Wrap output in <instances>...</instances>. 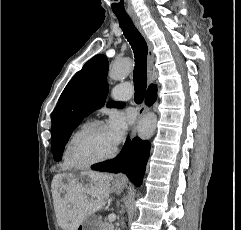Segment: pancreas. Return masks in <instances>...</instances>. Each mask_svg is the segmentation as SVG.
Segmentation results:
<instances>
[{
  "label": "pancreas",
  "instance_id": "cf45deb5",
  "mask_svg": "<svg viewBox=\"0 0 241 230\" xmlns=\"http://www.w3.org/2000/svg\"><path fill=\"white\" fill-rule=\"evenodd\" d=\"M99 230H114V225L106 220L100 224Z\"/></svg>",
  "mask_w": 241,
  "mask_h": 230
}]
</instances>
